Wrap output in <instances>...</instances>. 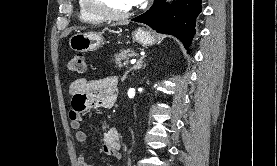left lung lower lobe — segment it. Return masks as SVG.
Wrapping results in <instances>:
<instances>
[{
    "mask_svg": "<svg viewBox=\"0 0 277 166\" xmlns=\"http://www.w3.org/2000/svg\"><path fill=\"white\" fill-rule=\"evenodd\" d=\"M201 1L175 0L167 6L165 0H154L148 11L132 21L147 24L159 33L173 35L188 48L195 34V19L201 12Z\"/></svg>",
    "mask_w": 277,
    "mask_h": 166,
    "instance_id": "1",
    "label": "left lung lower lobe"
}]
</instances>
